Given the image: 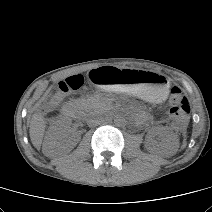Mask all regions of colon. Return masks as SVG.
<instances>
[{
	"mask_svg": "<svg viewBox=\"0 0 212 212\" xmlns=\"http://www.w3.org/2000/svg\"><path fill=\"white\" fill-rule=\"evenodd\" d=\"M93 71V70H92ZM90 71L88 76H90ZM90 79V77H89ZM85 83L83 75H74L59 83L58 93L54 97V102L61 99L62 96L74 93L82 88ZM170 115L178 123L183 124L187 121L190 113V103L180 87L175 86L171 90L169 99Z\"/></svg>",
	"mask_w": 212,
	"mask_h": 212,
	"instance_id": "5ec220e1",
	"label": "colon"
}]
</instances>
